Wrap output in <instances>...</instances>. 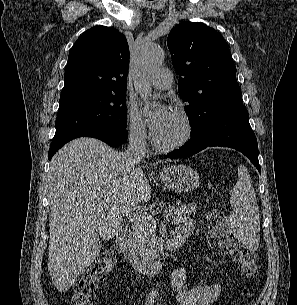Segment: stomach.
<instances>
[{
    "label": "stomach",
    "instance_id": "1",
    "mask_svg": "<svg viewBox=\"0 0 297 305\" xmlns=\"http://www.w3.org/2000/svg\"><path fill=\"white\" fill-rule=\"evenodd\" d=\"M160 178L167 188L177 193L193 191L200 184L198 173L182 164L164 167L160 172Z\"/></svg>",
    "mask_w": 297,
    "mask_h": 305
}]
</instances>
